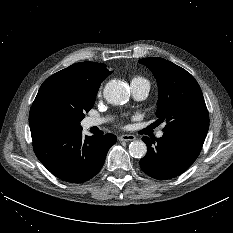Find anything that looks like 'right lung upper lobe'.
Segmentation results:
<instances>
[{
	"mask_svg": "<svg viewBox=\"0 0 233 233\" xmlns=\"http://www.w3.org/2000/svg\"><path fill=\"white\" fill-rule=\"evenodd\" d=\"M110 73L111 72L104 64L86 61L73 64L47 78L41 85L30 109L29 125L31 135L54 129V126L46 115L43 107L45 93L52 82L64 80L84 85L98 92L101 82Z\"/></svg>",
	"mask_w": 233,
	"mask_h": 233,
	"instance_id": "right-lung-upper-lobe-1",
	"label": "right lung upper lobe"
}]
</instances>
